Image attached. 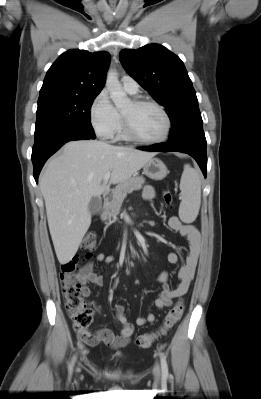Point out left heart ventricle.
Masks as SVG:
<instances>
[{"label": "left heart ventricle", "mask_w": 261, "mask_h": 399, "mask_svg": "<svg viewBox=\"0 0 261 399\" xmlns=\"http://www.w3.org/2000/svg\"><path fill=\"white\" fill-rule=\"evenodd\" d=\"M122 113L129 119L134 131L146 139H157L165 131V120L161 112L153 106H137L130 102Z\"/></svg>", "instance_id": "1"}]
</instances>
